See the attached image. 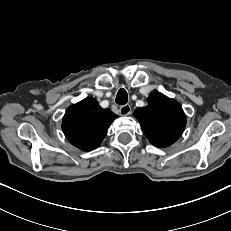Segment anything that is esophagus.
<instances>
[{"label":"esophagus","instance_id":"esophagus-1","mask_svg":"<svg viewBox=\"0 0 231 231\" xmlns=\"http://www.w3.org/2000/svg\"><path fill=\"white\" fill-rule=\"evenodd\" d=\"M119 112L123 116L130 115L131 114V106L129 104H125L119 108Z\"/></svg>","mask_w":231,"mask_h":231}]
</instances>
